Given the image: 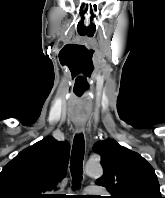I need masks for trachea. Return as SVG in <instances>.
<instances>
[{"instance_id": "1", "label": "trachea", "mask_w": 165, "mask_h": 198, "mask_svg": "<svg viewBox=\"0 0 165 198\" xmlns=\"http://www.w3.org/2000/svg\"><path fill=\"white\" fill-rule=\"evenodd\" d=\"M85 152V142L82 134L76 135L73 141L72 152H71V162L70 171L72 175L73 188L77 189L80 187L82 180V165ZM80 198V197H72Z\"/></svg>"}]
</instances>
